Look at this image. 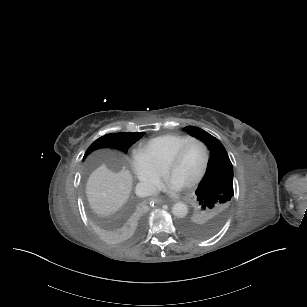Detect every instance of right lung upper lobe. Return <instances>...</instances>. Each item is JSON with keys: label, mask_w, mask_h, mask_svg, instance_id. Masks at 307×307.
Here are the masks:
<instances>
[{"label": "right lung upper lobe", "mask_w": 307, "mask_h": 307, "mask_svg": "<svg viewBox=\"0 0 307 307\" xmlns=\"http://www.w3.org/2000/svg\"><path fill=\"white\" fill-rule=\"evenodd\" d=\"M142 218L141 210H136L121 219V222H137Z\"/></svg>", "instance_id": "right-lung-upper-lobe-1"}]
</instances>
